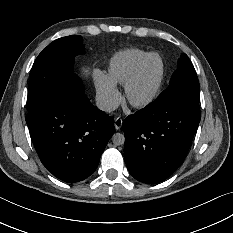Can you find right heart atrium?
<instances>
[{
    "instance_id": "1",
    "label": "right heart atrium",
    "mask_w": 233,
    "mask_h": 233,
    "mask_svg": "<svg viewBox=\"0 0 233 233\" xmlns=\"http://www.w3.org/2000/svg\"><path fill=\"white\" fill-rule=\"evenodd\" d=\"M94 82L96 86V98L100 108L105 112L115 110L122 99L121 93L116 85L99 69L94 71Z\"/></svg>"
}]
</instances>
